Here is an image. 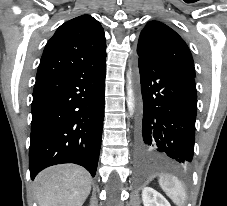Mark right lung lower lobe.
I'll return each instance as SVG.
<instances>
[{"label": "right lung lower lobe", "instance_id": "1", "mask_svg": "<svg viewBox=\"0 0 227 206\" xmlns=\"http://www.w3.org/2000/svg\"><path fill=\"white\" fill-rule=\"evenodd\" d=\"M106 60L45 80L33 90L29 169L75 163L94 177L104 117Z\"/></svg>", "mask_w": 227, "mask_h": 206}]
</instances>
